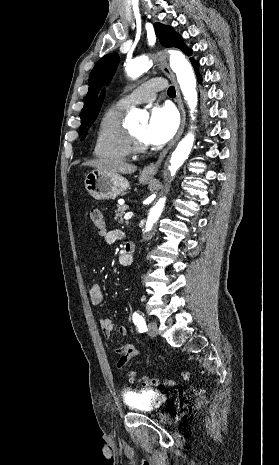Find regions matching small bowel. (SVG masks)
<instances>
[{"instance_id":"obj_1","label":"small bowel","mask_w":279,"mask_h":465,"mask_svg":"<svg viewBox=\"0 0 279 465\" xmlns=\"http://www.w3.org/2000/svg\"><path fill=\"white\" fill-rule=\"evenodd\" d=\"M122 237V234L118 230L110 231L105 235V240L107 243L112 244ZM89 299L93 305H99L103 301V292L99 285L94 284L89 289ZM100 327L102 329L103 335L105 338L109 339L114 330V323L110 318H102L99 321ZM118 332L121 336H126L128 330L126 327L121 326L118 329ZM119 358L117 360V367L119 369L124 368L129 364L135 357L140 354V351L136 348L133 343H127L124 347L116 350Z\"/></svg>"}]
</instances>
